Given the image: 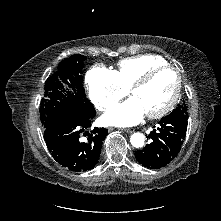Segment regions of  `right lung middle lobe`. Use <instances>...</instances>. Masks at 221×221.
Returning <instances> with one entry per match:
<instances>
[{
    "mask_svg": "<svg viewBox=\"0 0 221 221\" xmlns=\"http://www.w3.org/2000/svg\"><path fill=\"white\" fill-rule=\"evenodd\" d=\"M85 59L84 55L64 59L57 71L46 80L44 97L40 103V119L44 127L50 120L66 113L94 109L82 86L81 71Z\"/></svg>",
    "mask_w": 221,
    "mask_h": 221,
    "instance_id": "1",
    "label": "right lung middle lobe"
}]
</instances>
